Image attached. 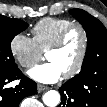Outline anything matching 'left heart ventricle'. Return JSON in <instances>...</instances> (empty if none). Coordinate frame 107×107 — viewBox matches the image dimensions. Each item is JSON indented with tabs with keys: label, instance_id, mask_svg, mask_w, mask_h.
<instances>
[{
	"label": "left heart ventricle",
	"instance_id": "obj_1",
	"mask_svg": "<svg viewBox=\"0 0 107 107\" xmlns=\"http://www.w3.org/2000/svg\"><path fill=\"white\" fill-rule=\"evenodd\" d=\"M81 45V33L75 29L70 32L64 45L60 49L47 52L46 59L57 63L63 73H65L75 65L80 53Z\"/></svg>",
	"mask_w": 107,
	"mask_h": 107
}]
</instances>
